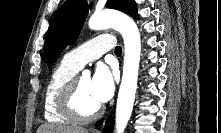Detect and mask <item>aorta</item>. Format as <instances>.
Returning a JSON list of instances; mask_svg holds the SVG:
<instances>
[{"mask_svg":"<svg viewBox=\"0 0 221 133\" xmlns=\"http://www.w3.org/2000/svg\"><path fill=\"white\" fill-rule=\"evenodd\" d=\"M92 30L114 28L124 40V64L116 105V133H124L132 114L137 89L141 55L140 33L135 22L127 15L111 10L95 13L88 22Z\"/></svg>","mask_w":221,"mask_h":133,"instance_id":"obj_1","label":"aorta"}]
</instances>
